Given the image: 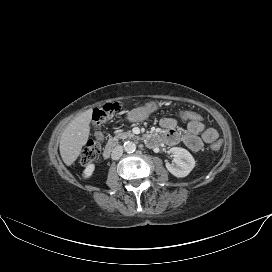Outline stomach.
Returning a JSON list of instances; mask_svg holds the SVG:
<instances>
[{
	"label": "stomach",
	"instance_id": "stomach-1",
	"mask_svg": "<svg viewBox=\"0 0 272 272\" xmlns=\"http://www.w3.org/2000/svg\"><path fill=\"white\" fill-rule=\"evenodd\" d=\"M160 105L161 103H158L156 101H151L145 104L144 106L137 107L131 110L130 112H128L127 119L131 122H138V121L145 120L149 117V115L152 112L156 111Z\"/></svg>",
	"mask_w": 272,
	"mask_h": 272
}]
</instances>
